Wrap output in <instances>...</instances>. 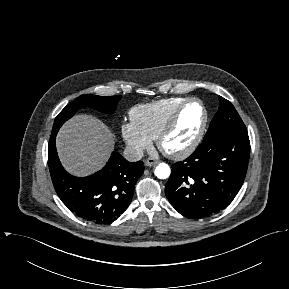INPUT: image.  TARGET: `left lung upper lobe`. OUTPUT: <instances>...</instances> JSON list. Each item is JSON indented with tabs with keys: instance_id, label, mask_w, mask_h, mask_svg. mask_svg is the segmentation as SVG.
Wrapping results in <instances>:
<instances>
[{
	"instance_id": "obj_1",
	"label": "left lung upper lobe",
	"mask_w": 289,
	"mask_h": 289,
	"mask_svg": "<svg viewBox=\"0 0 289 289\" xmlns=\"http://www.w3.org/2000/svg\"><path fill=\"white\" fill-rule=\"evenodd\" d=\"M219 102V110L212 119L206 134L227 129L247 132V129L234 106L221 96L219 97Z\"/></svg>"
}]
</instances>
